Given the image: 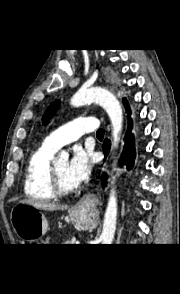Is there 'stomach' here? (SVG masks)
<instances>
[{
	"label": "stomach",
	"instance_id": "obj_1",
	"mask_svg": "<svg viewBox=\"0 0 180 294\" xmlns=\"http://www.w3.org/2000/svg\"><path fill=\"white\" fill-rule=\"evenodd\" d=\"M69 217L81 229H91L96 226V220L88 210H70ZM10 218L16 235L22 241H38L47 232L46 217L30 204L17 203L11 210Z\"/></svg>",
	"mask_w": 180,
	"mask_h": 294
}]
</instances>
